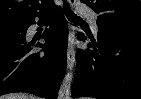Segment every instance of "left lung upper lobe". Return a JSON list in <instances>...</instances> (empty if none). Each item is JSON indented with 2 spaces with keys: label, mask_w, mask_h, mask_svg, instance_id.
<instances>
[{
  "label": "left lung upper lobe",
  "mask_w": 141,
  "mask_h": 99,
  "mask_svg": "<svg viewBox=\"0 0 141 99\" xmlns=\"http://www.w3.org/2000/svg\"><path fill=\"white\" fill-rule=\"evenodd\" d=\"M97 14V24L141 29L140 0H81Z\"/></svg>",
  "instance_id": "5c2ea615"
}]
</instances>
